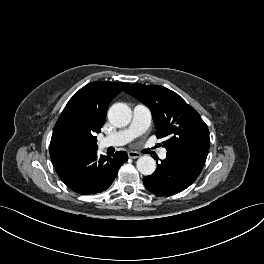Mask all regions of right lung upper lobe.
Here are the masks:
<instances>
[{"label": "right lung upper lobe", "mask_w": 264, "mask_h": 264, "mask_svg": "<svg viewBox=\"0 0 264 264\" xmlns=\"http://www.w3.org/2000/svg\"><path fill=\"white\" fill-rule=\"evenodd\" d=\"M128 83L96 81L76 92L59 116L50 142L55 169L97 150L109 103Z\"/></svg>", "instance_id": "obj_1"}]
</instances>
